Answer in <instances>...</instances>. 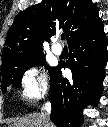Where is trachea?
<instances>
[{
	"mask_svg": "<svg viewBox=\"0 0 108 127\" xmlns=\"http://www.w3.org/2000/svg\"><path fill=\"white\" fill-rule=\"evenodd\" d=\"M65 39V34H61V40Z\"/></svg>",
	"mask_w": 108,
	"mask_h": 127,
	"instance_id": "1",
	"label": "trachea"
}]
</instances>
